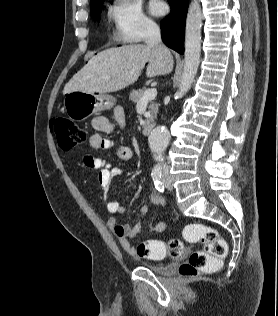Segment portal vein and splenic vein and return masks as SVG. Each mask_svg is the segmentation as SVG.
Instances as JSON below:
<instances>
[{"label":"portal vein and splenic vein","instance_id":"1","mask_svg":"<svg viewBox=\"0 0 278 316\" xmlns=\"http://www.w3.org/2000/svg\"><path fill=\"white\" fill-rule=\"evenodd\" d=\"M105 78H109L108 76L105 77ZM157 95V89L156 88H151V89H148L144 95L142 96V98L139 100V102L137 103L138 105L141 104V103H144V102H148L152 99H154Z\"/></svg>","mask_w":278,"mask_h":316}]
</instances>
